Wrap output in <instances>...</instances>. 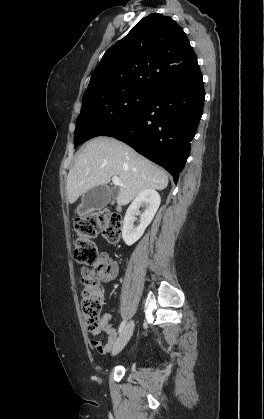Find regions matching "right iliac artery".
Returning <instances> with one entry per match:
<instances>
[{
	"label": "right iliac artery",
	"instance_id": "right-iliac-artery-1",
	"mask_svg": "<svg viewBox=\"0 0 264 419\" xmlns=\"http://www.w3.org/2000/svg\"><path fill=\"white\" fill-rule=\"evenodd\" d=\"M125 324H126V321L125 320H123L122 321V323L120 324V326H119V329H118V333L120 334V333H122V331H123V329H124V327H125Z\"/></svg>",
	"mask_w": 264,
	"mask_h": 419
}]
</instances>
